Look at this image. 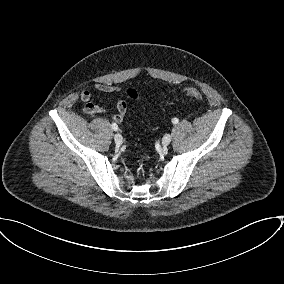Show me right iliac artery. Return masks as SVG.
<instances>
[{
	"label": "right iliac artery",
	"mask_w": 284,
	"mask_h": 284,
	"mask_svg": "<svg viewBox=\"0 0 284 284\" xmlns=\"http://www.w3.org/2000/svg\"><path fill=\"white\" fill-rule=\"evenodd\" d=\"M111 127H112V129H113L114 131H117V130H118V126H117L116 123H112V124H111Z\"/></svg>",
	"instance_id": "right-iliac-artery-1"
}]
</instances>
